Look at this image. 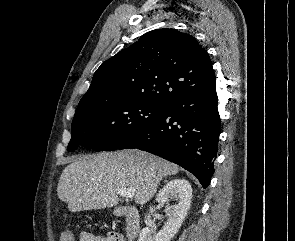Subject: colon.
Listing matches in <instances>:
<instances>
[{"instance_id": "1", "label": "colon", "mask_w": 295, "mask_h": 241, "mask_svg": "<svg viewBox=\"0 0 295 241\" xmlns=\"http://www.w3.org/2000/svg\"><path fill=\"white\" fill-rule=\"evenodd\" d=\"M60 241H74L73 233L70 230H65L62 232Z\"/></svg>"}]
</instances>
